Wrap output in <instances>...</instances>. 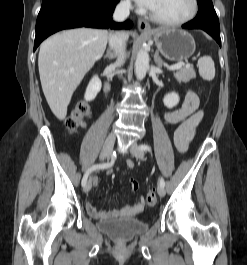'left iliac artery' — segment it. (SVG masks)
<instances>
[{"label": "left iliac artery", "instance_id": "left-iliac-artery-1", "mask_svg": "<svg viewBox=\"0 0 247 265\" xmlns=\"http://www.w3.org/2000/svg\"><path fill=\"white\" fill-rule=\"evenodd\" d=\"M139 148L141 150H143V151H150L151 150L150 146L147 145V144H141L139 146ZM159 183H160L161 186H163V187L165 186V181H164V179L162 177L159 179Z\"/></svg>", "mask_w": 247, "mask_h": 265}]
</instances>
